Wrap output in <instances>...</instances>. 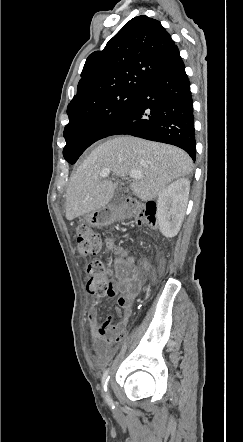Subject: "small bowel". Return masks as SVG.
Instances as JSON below:
<instances>
[{"instance_id": "c3829d8e", "label": "small bowel", "mask_w": 243, "mask_h": 442, "mask_svg": "<svg viewBox=\"0 0 243 442\" xmlns=\"http://www.w3.org/2000/svg\"><path fill=\"white\" fill-rule=\"evenodd\" d=\"M105 243L106 247L118 256L114 260L115 279L112 280L110 284L114 290V295L117 293L120 294L117 299V306L120 309V313L117 321L114 322L113 318L108 316L102 325H98L97 308L90 306L87 311V319L95 339L93 345L95 364L100 367L104 366L109 359V344L113 340L119 341L121 339L125 322L130 314L132 302L138 296L143 285V278L137 270L134 258L130 256L127 251L116 246L111 239H106ZM108 331L112 333L113 338L107 337Z\"/></svg>"}]
</instances>
